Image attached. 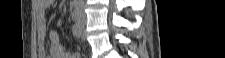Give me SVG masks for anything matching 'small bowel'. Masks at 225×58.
I'll return each instance as SVG.
<instances>
[{
    "mask_svg": "<svg viewBox=\"0 0 225 58\" xmlns=\"http://www.w3.org/2000/svg\"><path fill=\"white\" fill-rule=\"evenodd\" d=\"M53 0H36L37 9V33L38 50L42 57H46L45 39L48 37L50 49L49 58H80L79 52L69 53L65 47L59 43L56 31L48 32L46 10L52 5Z\"/></svg>",
    "mask_w": 225,
    "mask_h": 58,
    "instance_id": "c3829d8e",
    "label": "small bowel"
}]
</instances>
